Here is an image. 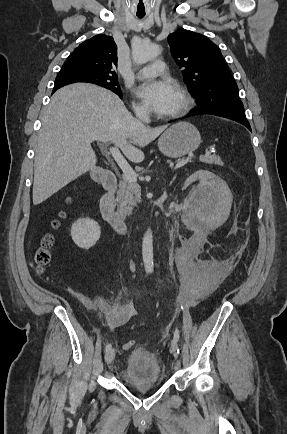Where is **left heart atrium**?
<instances>
[{
    "label": "left heart atrium",
    "mask_w": 287,
    "mask_h": 434,
    "mask_svg": "<svg viewBox=\"0 0 287 434\" xmlns=\"http://www.w3.org/2000/svg\"><path fill=\"white\" fill-rule=\"evenodd\" d=\"M177 93L176 86L168 81L147 82L138 88L139 97L159 114H166L171 110Z\"/></svg>",
    "instance_id": "1"
}]
</instances>
